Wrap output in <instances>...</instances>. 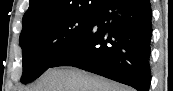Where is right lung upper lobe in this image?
Returning <instances> with one entry per match:
<instances>
[{
    "instance_id": "right-lung-upper-lobe-1",
    "label": "right lung upper lobe",
    "mask_w": 173,
    "mask_h": 91,
    "mask_svg": "<svg viewBox=\"0 0 173 91\" xmlns=\"http://www.w3.org/2000/svg\"><path fill=\"white\" fill-rule=\"evenodd\" d=\"M100 0H30L23 16V29L38 22L60 16L94 10Z\"/></svg>"
}]
</instances>
